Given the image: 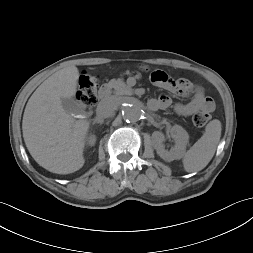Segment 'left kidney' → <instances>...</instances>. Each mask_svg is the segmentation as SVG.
<instances>
[{
	"label": "left kidney",
	"instance_id": "1",
	"mask_svg": "<svg viewBox=\"0 0 253 253\" xmlns=\"http://www.w3.org/2000/svg\"><path fill=\"white\" fill-rule=\"evenodd\" d=\"M170 137L174 140L175 145L170 151L165 150L163 142L165 141V135L160 131H155L152 134L153 147L157 154L167 162L173 160H179L183 157L186 145L189 140V135L185 129L179 125H174L170 130Z\"/></svg>",
	"mask_w": 253,
	"mask_h": 253
}]
</instances>
